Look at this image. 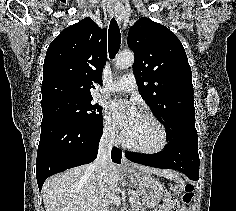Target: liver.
<instances>
[{
    "label": "liver",
    "instance_id": "6515ba94",
    "mask_svg": "<svg viewBox=\"0 0 236 211\" xmlns=\"http://www.w3.org/2000/svg\"><path fill=\"white\" fill-rule=\"evenodd\" d=\"M90 165L66 170L48 178L42 189L45 211H99L104 202L109 205L111 194L120 180V168L111 164L103 180ZM142 172L168 179L175 174L167 170L137 166Z\"/></svg>",
    "mask_w": 236,
    "mask_h": 211
}]
</instances>
